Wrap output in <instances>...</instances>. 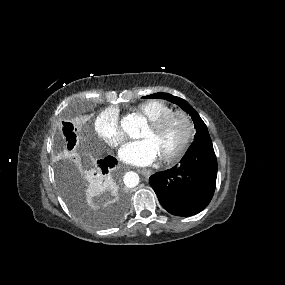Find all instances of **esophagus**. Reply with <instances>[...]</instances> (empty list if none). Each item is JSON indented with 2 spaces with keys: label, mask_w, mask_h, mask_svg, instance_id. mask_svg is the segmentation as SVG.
<instances>
[{
  "label": "esophagus",
  "mask_w": 285,
  "mask_h": 285,
  "mask_svg": "<svg viewBox=\"0 0 285 285\" xmlns=\"http://www.w3.org/2000/svg\"><path fill=\"white\" fill-rule=\"evenodd\" d=\"M142 175H144L145 177H149L152 175L153 171L150 169H139L138 170Z\"/></svg>",
  "instance_id": "34e87169"
}]
</instances>
